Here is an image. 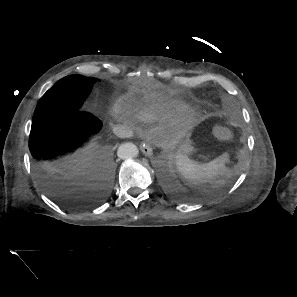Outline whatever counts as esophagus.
<instances>
[{
    "mask_svg": "<svg viewBox=\"0 0 297 297\" xmlns=\"http://www.w3.org/2000/svg\"><path fill=\"white\" fill-rule=\"evenodd\" d=\"M140 149L142 151L143 154H145L146 156H151L152 155V147L150 144V141H144L140 144Z\"/></svg>",
    "mask_w": 297,
    "mask_h": 297,
    "instance_id": "34e87169",
    "label": "esophagus"
}]
</instances>
